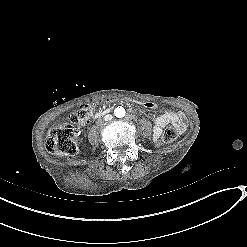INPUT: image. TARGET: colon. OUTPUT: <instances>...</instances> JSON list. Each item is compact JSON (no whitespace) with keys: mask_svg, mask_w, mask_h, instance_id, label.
<instances>
[{"mask_svg":"<svg viewBox=\"0 0 247 247\" xmlns=\"http://www.w3.org/2000/svg\"><path fill=\"white\" fill-rule=\"evenodd\" d=\"M157 104L151 101L145 103L146 111L151 112ZM88 106H80L73 110L67 119V125H55L50 128L45 139V148L58 156L69 157L78 153V131L77 127L85 123L89 117ZM183 130L175 126L168 127L163 134V141L171 143L175 141Z\"/></svg>","mask_w":247,"mask_h":247,"instance_id":"1","label":"colon"}]
</instances>
